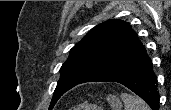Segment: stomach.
<instances>
[{
  "label": "stomach",
  "instance_id": "0dacf381",
  "mask_svg": "<svg viewBox=\"0 0 171 110\" xmlns=\"http://www.w3.org/2000/svg\"><path fill=\"white\" fill-rule=\"evenodd\" d=\"M108 102L112 108V110H121L122 104L118 97L116 96H108Z\"/></svg>",
  "mask_w": 171,
  "mask_h": 110
}]
</instances>
